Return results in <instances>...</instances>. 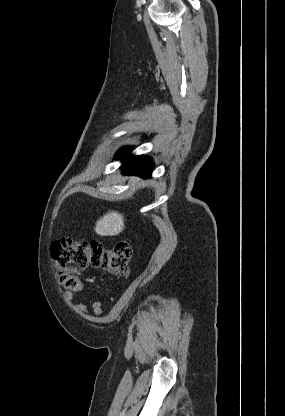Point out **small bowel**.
Wrapping results in <instances>:
<instances>
[{
    "mask_svg": "<svg viewBox=\"0 0 285 416\" xmlns=\"http://www.w3.org/2000/svg\"><path fill=\"white\" fill-rule=\"evenodd\" d=\"M65 298H66L67 301H71L72 298H73V293H67ZM76 309H77V311H79L81 313L88 314V308L83 303L77 304ZM92 310H93V313L96 316L102 315V313H103L102 302L100 300H95L92 304Z\"/></svg>",
    "mask_w": 285,
    "mask_h": 416,
    "instance_id": "small-bowel-1",
    "label": "small bowel"
}]
</instances>
